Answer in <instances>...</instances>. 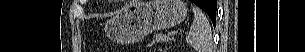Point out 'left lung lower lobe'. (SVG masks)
<instances>
[{
	"instance_id": "left-lung-lower-lobe-1",
	"label": "left lung lower lobe",
	"mask_w": 305,
	"mask_h": 52,
	"mask_svg": "<svg viewBox=\"0 0 305 52\" xmlns=\"http://www.w3.org/2000/svg\"><path fill=\"white\" fill-rule=\"evenodd\" d=\"M193 3L200 6L210 17L213 25L216 22L217 0H203L201 3L198 0H191Z\"/></svg>"
}]
</instances>
